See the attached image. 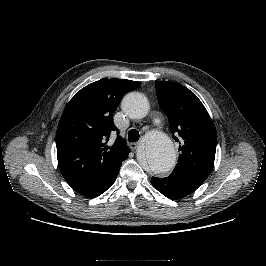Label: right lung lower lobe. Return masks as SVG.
Wrapping results in <instances>:
<instances>
[{"label": "right lung lower lobe", "instance_id": "obj_1", "mask_svg": "<svg viewBox=\"0 0 266 266\" xmlns=\"http://www.w3.org/2000/svg\"><path fill=\"white\" fill-rule=\"evenodd\" d=\"M121 166V165H120ZM120 166H118L115 170H113L110 174L103 177L99 181L80 188H74L75 191L80 193L81 195L88 198H95L104 193L107 189H109L114 183L118 172L120 170Z\"/></svg>", "mask_w": 266, "mask_h": 266}]
</instances>
